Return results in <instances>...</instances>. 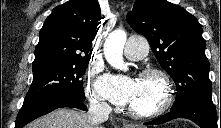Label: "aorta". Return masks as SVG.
Segmentation results:
<instances>
[{"instance_id": "762f6f07", "label": "aorta", "mask_w": 221, "mask_h": 128, "mask_svg": "<svg viewBox=\"0 0 221 128\" xmlns=\"http://www.w3.org/2000/svg\"><path fill=\"white\" fill-rule=\"evenodd\" d=\"M127 40L126 32L115 30L111 32L104 43V55L108 63L118 70H127L123 60V48Z\"/></svg>"}]
</instances>
